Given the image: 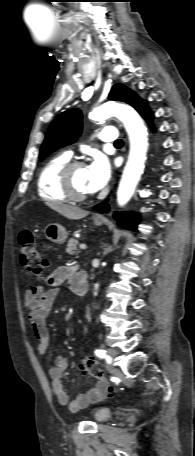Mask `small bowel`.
I'll list each match as a JSON object with an SVG mask.
<instances>
[{
  "label": "small bowel",
  "mask_w": 195,
  "mask_h": 456,
  "mask_svg": "<svg viewBox=\"0 0 195 456\" xmlns=\"http://www.w3.org/2000/svg\"><path fill=\"white\" fill-rule=\"evenodd\" d=\"M71 277L72 269L70 267H59L55 269L47 279L52 288L45 290L40 286H34L27 289L24 294V304L28 309V317L32 324L34 335L38 340V353L42 357H48L49 355L50 339L46 318L54 301L60 294L59 286L66 280H71ZM67 368V358L58 356L55 359L54 364L48 370L53 392L61 405L74 411L87 406L93 401L101 399L105 395V382H98L95 386L70 400L62 383V376Z\"/></svg>",
  "instance_id": "c3829d8e"
}]
</instances>
